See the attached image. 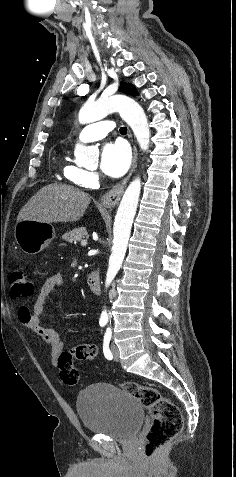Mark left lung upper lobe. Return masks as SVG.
<instances>
[{
    "instance_id": "obj_1",
    "label": "left lung upper lobe",
    "mask_w": 236,
    "mask_h": 477,
    "mask_svg": "<svg viewBox=\"0 0 236 477\" xmlns=\"http://www.w3.org/2000/svg\"><path fill=\"white\" fill-rule=\"evenodd\" d=\"M119 90L127 94L137 95L136 88L130 83H121Z\"/></svg>"
}]
</instances>
